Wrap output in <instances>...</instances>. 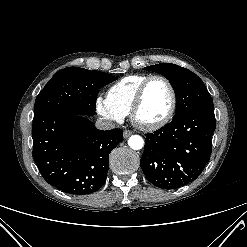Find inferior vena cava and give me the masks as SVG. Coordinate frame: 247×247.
Instances as JSON below:
<instances>
[{
    "label": "inferior vena cava",
    "mask_w": 247,
    "mask_h": 247,
    "mask_svg": "<svg viewBox=\"0 0 247 247\" xmlns=\"http://www.w3.org/2000/svg\"><path fill=\"white\" fill-rule=\"evenodd\" d=\"M95 126L100 130H110L115 128V124L111 120L103 117L96 120Z\"/></svg>",
    "instance_id": "1"
}]
</instances>
